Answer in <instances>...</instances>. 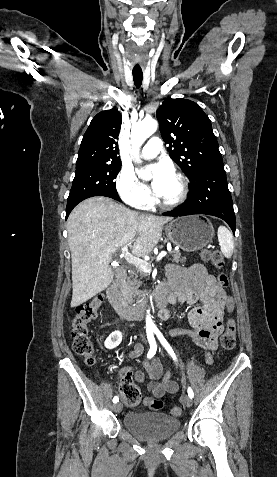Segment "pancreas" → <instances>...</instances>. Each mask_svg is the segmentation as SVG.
Returning a JSON list of instances; mask_svg holds the SVG:
<instances>
[{
  "label": "pancreas",
  "mask_w": 277,
  "mask_h": 477,
  "mask_svg": "<svg viewBox=\"0 0 277 477\" xmlns=\"http://www.w3.org/2000/svg\"><path fill=\"white\" fill-rule=\"evenodd\" d=\"M172 256V261L176 263H184L185 257L181 256L179 251L173 250L170 251ZM148 274L141 269H136V271L131 272V276L127 280L126 286V295L125 299L128 302H134L135 299L140 300L143 295L144 291H141L139 288L142 285L143 281L141 280L143 277H146Z\"/></svg>",
  "instance_id": "cf45deb5"
}]
</instances>
